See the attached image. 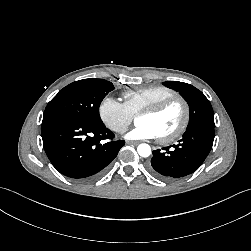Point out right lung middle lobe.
<instances>
[{"mask_svg":"<svg viewBox=\"0 0 251 251\" xmlns=\"http://www.w3.org/2000/svg\"><path fill=\"white\" fill-rule=\"evenodd\" d=\"M113 89V84L103 79L75 81L60 90L48 103L43 120L67 117L101 123L99 106Z\"/></svg>","mask_w":251,"mask_h":251,"instance_id":"right-lung-middle-lobe-1","label":"right lung middle lobe"}]
</instances>
